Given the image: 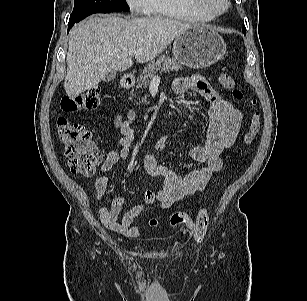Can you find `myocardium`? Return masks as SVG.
Returning a JSON list of instances; mask_svg holds the SVG:
<instances>
[{"label": "myocardium", "mask_w": 307, "mask_h": 301, "mask_svg": "<svg viewBox=\"0 0 307 301\" xmlns=\"http://www.w3.org/2000/svg\"><path fill=\"white\" fill-rule=\"evenodd\" d=\"M191 8L201 13L211 15L213 17H218L226 13L230 6V0H221L222 6H216L209 0H186Z\"/></svg>", "instance_id": "obj_1"}]
</instances>
